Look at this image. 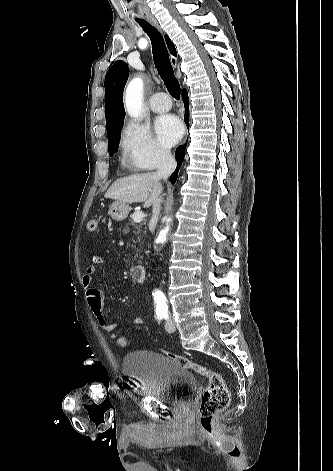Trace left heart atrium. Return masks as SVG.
<instances>
[{
	"label": "left heart atrium",
	"mask_w": 333,
	"mask_h": 471,
	"mask_svg": "<svg viewBox=\"0 0 333 471\" xmlns=\"http://www.w3.org/2000/svg\"><path fill=\"white\" fill-rule=\"evenodd\" d=\"M155 130L159 140L166 146L176 143L183 133L180 120L173 115L159 117L155 123Z\"/></svg>",
	"instance_id": "39dd6f15"
}]
</instances>
